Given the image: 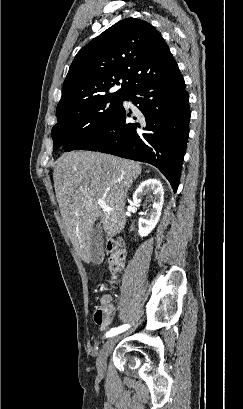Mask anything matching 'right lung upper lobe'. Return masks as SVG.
I'll list each match as a JSON object with an SVG mask.
<instances>
[{
	"label": "right lung upper lobe",
	"mask_w": 243,
	"mask_h": 409,
	"mask_svg": "<svg viewBox=\"0 0 243 409\" xmlns=\"http://www.w3.org/2000/svg\"><path fill=\"white\" fill-rule=\"evenodd\" d=\"M178 69L161 34L148 22L123 19L85 45L75 56L56 109L105 95L125 96L136 86ZM121 86L108 93L115 84Z\"/></svg>",
	"instance_id": "right-lung-upper-lobe-1"
}]
</instances>
